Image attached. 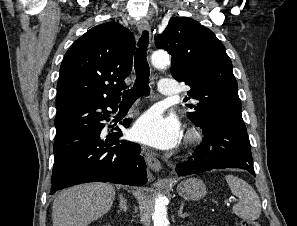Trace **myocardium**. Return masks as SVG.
<instances>
[{"mask_svg": "<svg viewBox=\"0 0 297 226\" xmlns=\"http://www.w3.org/2000/svg\"><path fill=\"white\" fill-rule=\"evenodd\" d=\"M202 134L196 130H190L186 134V143L189 147H194L202 141Z\"/></svg>", "mask_w": 297, "mask_h": 226, "instance_id": "obj_1", "label": "myocardium"}]
</instances>
